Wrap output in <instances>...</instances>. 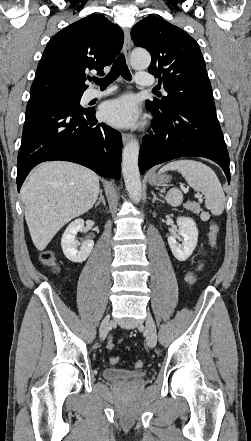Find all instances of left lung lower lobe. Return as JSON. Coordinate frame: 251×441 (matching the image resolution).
Segmentation results:
<instances>
[{
  "mask_svg": "<svg viewBox=\"0 0 251 441\" xmlns=\"http://www.w3.org/2000/svg\"><path fill=\"white\" fill-rule=\"evenodd\" d=\"M153 114L154 133L142 140L139 169L143 174L154 165L185 156L205 157L216 162L230 183L229 155L214 101L196 100Z\"/></svg>",
  "mask_w": 251,
  "mask_h": 441,
  "instance_id": "0a47b994",
  "label": "left lung lower lobe"
}]
</instances>
